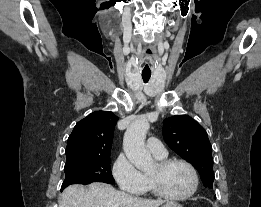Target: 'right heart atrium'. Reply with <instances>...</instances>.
I'll return each mask as SVG.
<instances>
[{"instance_id": "d8ad5b80", "label": "right heart atrium", "mask_w": 261, "mask_h": 207, "mask_svg": "<svg viewBox=\"0 0 261 207\" xmlns=\"http://www.w3.org/2000/svg\"><path fill=\"white\" fill-rule=\"evenodd\" d=\"M112 174L123 191L138 195L147 189V177L125 155L117 157L112 167Z\"/></svg>"}]
</instances>
